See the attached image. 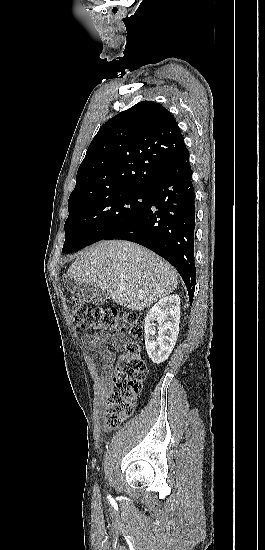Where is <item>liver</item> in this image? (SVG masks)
<instances>
[{"label":"liver","mask_w":265,"mask_h":550,"mask_svg":"<svg viewBox=\"0 0 265 550\" xmlns=\"http://www.w3.org/2000/svg\"><path fill=\"white\" fill-rule=\"evenodd\" d=\"M67 275L77 283L107 291L118 305L133 311L150 307L178 285L174 267L145 247L124 240L86 247L77 254Z\"/></svg>","instance_id":"6515ba94"}]
</instances>
